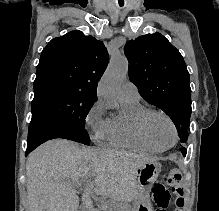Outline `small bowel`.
I'll return each mask as SVG.
<instances>
[{"instance_id": "c3829d8e", "label": "small bowel", "mask_w": 219, "mask_h": 211, "mask_svg": "<svg viewBox=\"0 0 219 211\" xmlns=\"http://www.w3.org/2000/svg\"><path fill=\"white\" fill-rule=\"evenodd\" d=\"M169 192L164 189H158L155 193V200L159 207L157 211H165L169 204Z\"/></svg>"}]
</instances>
